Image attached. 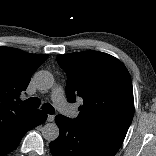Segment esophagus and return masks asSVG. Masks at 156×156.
<instances>
[{
	"label": "esophagus",
	"mask_w": 156,
	"mask_h": 156,
	"mask_svg": "<svg viewBox=\"0 0 156 156\" xmlns=\"http://www.w3.org/2000/svg\"><path fill=\"white\" fill-rule=\"evenodd\" d=\"M54 119H55V116H54V115H48V116H47V121H48V122H53Z\"/></svg>",
	"instance_id": "obj_1"
}]
</instances>
